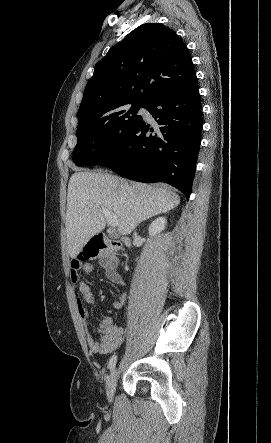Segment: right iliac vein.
<instances>
[{
    "instance_id": "obj_1",
    "label": "right iliac vein",
    "mask_w": 271,
    "mask_h": 443,
    "mask_svg": "<svg viewBox=\"0 0 271 443\" xmlns=\"http://www.w3.org/2000/svg\"><path fill=\"white\" fill-rule=\"evenodd\" d=\"M117 377H118L117 369H114L106 381V394L109 402H111L114 397L117 385Z\"/></svg>"
}]
</instances>
